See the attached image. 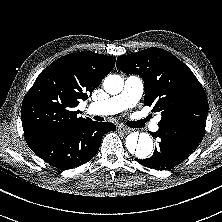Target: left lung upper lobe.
<instances>
[{"label":"left lung upper lobe","mask_w":222,"mask_h":222,"mask_svg":"<svg viewBox=\"0 0 222 222\" xmlns=\"http://www.w3.org/2000/svg\"><path fill=\"white\" fill-rule=\"evenodd\" d=\"M117 68L144 80L145 105L161 112L159 123L187 122L206 126V93L187 65L166 50L152 47L117 58Z\"/></svg>","instance_id":"5c2ea615"}]
</instances>
